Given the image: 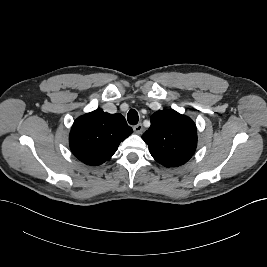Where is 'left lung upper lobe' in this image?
<instances>
[{
  "label": "left lung upper lobe",
  "instance_id": "obj_1",
  "mask_svg": "<svg viewBox=\"0 0 267 267\" xmlns=\"http://www.w3.org/2000/svg\"><path fill=\"white\" fill-rule=\"evenodd\" d=\"M150 120L151 126L142 139L152 157L165 167L185 164L197 146V130L192 119L174 110H159Z\"/></svg>",
  "mask_w": 267,
  "mask_h": 267
}]
</instances>
